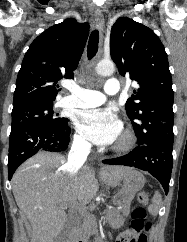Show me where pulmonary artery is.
<instances>
[{
	"label": "pulmonary artery",
	"mask_w": 187,
	"mask_h": 242,
	"mask_svg": "<svg viewBox=\"0 0 187 242\" xmlns=\"http://www.w3.org/2000/svg\"><path fill=\"white\" fill-rule=\"evenodd\" d=\"M71 94L63 99V104L69 107L88 108L101 105L105 96L99 91L82 88L78 85H68ZM120 83L115 78H109L104 85L107 95H116L119 92Z\"/></svg>",
	"instance_id": "pulmonary-artery-1"
}]
</instances>
